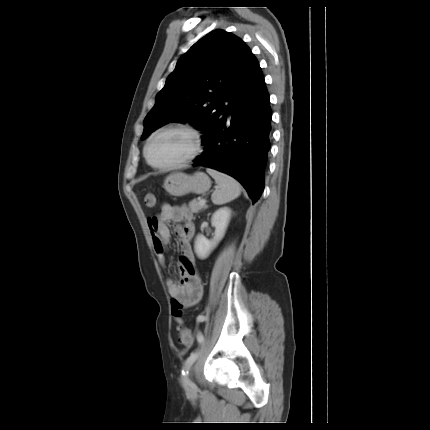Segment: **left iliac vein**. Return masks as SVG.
Listing matches in <instances>:
<instances>
[{"label": "left iliac vein", "mask_w": 430, "mask_h": 430, "mask_svg": "<svg viewBox=\"0 0 430 430\" xmlns=\"http://www.w3.org/2000/svg\"><path fill=\"white\" fill-rule=\"evenodd\" d=\"M191 370V369H190ZM187 386L189 389H195V383L190 379V377H188V382H187Z\"/></svg>", "instance_id": "obj_1"}]
</instances>
